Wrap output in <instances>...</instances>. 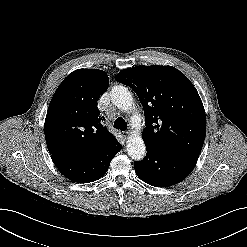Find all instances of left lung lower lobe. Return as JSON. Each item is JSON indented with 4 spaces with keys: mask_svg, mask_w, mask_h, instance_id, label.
<instances>
[{
    "mask_svg": "<svg viewBox=\"0 0 247 247\" xmlns=\"http://www.w3.org/2000/svg\"><path fill=\"white\" fill-rule=\"evenodd\" d=\"M147 155L139 162H134L137 176L155 187H167L185 179L194 169L197 158L163 152L148 147Z\"/></svg>",
    "mask_w": 247,
    "mask_h": 247,
    "instance_id": "left-lung-lower-lobe-1",
    "label": "left lung lower lobe"
}]
</instances>
